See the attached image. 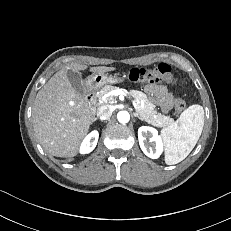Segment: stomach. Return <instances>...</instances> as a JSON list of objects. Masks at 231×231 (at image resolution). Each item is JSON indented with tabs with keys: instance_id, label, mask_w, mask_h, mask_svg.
Segmentation results:
<instances>
[{
	"instance_id": "stomach-1",
	"label": "stomach",
	"mask_w": 231,
	"mask_h": 231,
	"mask_svg": "<svg viewBox=\"0 0 231 231\" xmlns=\"http://www.w3.org/2000/svg\"><path fill=\"white\" fill-rule=\"evenodd\" d=\"M122 81L123 79L119 75L94 73L87 78L86 84L90 87L99 88L105 84L120 83Z\"/></svg>"
}]
</instances>
